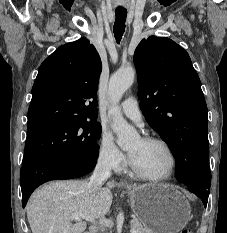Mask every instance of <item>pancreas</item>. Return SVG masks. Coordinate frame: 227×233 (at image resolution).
Here are the masks:
<instances>
[{"instance_id":"obj_1","label":"pancreas","mask_w":227,"mask_h":233,"mask_svg":"<svg viewBox=\"0 0 227 233\" xmlns=\"http://www.w3.org/2000/svg\"><path fill=\"white\" fill-rule=\"evenodd\" d=\"M131 228L135 231V233H151L138 219L131 220Z\"/></svg>"}]
</instances>
